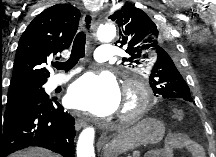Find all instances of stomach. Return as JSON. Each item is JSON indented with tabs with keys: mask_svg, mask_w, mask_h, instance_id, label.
<instances>
[{
	"mask_svg": "<svg viewBox=\"0 0 216 157\" xmlns=\"http://www.w3.org/2000/svg\"><path fill=\"white\" fill-rule=\"evenodd\" d=\"M164 124L156 119L147 118L135 126L118 132L104 148L106 155L123 153L135 146L156 144L164 136Z\"/></svg>",
	"mask_w": 216,
	"mask_h": 157,
	"instance_id": "obj_1",
	"label": "stomach"
}]
</instances>
